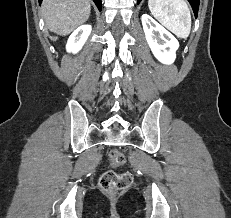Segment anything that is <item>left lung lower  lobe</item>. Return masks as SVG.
Returning <instances> with one entry per match:
<instances>
[{"instance_id":"0a47b994","label":"left lung lower lobe","mask_w":231,"mask_h":218,"mask_svg":"<svg viewBox=\"0 0 231 218\" xmlns=\"http://www.w3.org/2000/svg\"><path fill=\"white\" fill-rule=\"evenodd\" d=\"M141 0H137L138 4L140 3ZM189 3L191 4L195 17H197L198 14V8H199V0H188Z\"/></svg>"}]
</instances>
